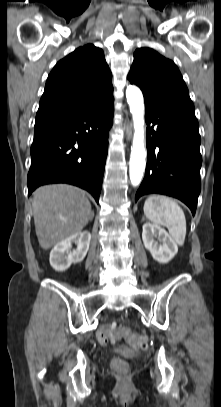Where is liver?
Returning <instances> with one entry per match:
<instances>
[{
    "label": "liver",
    "instance_id": "liver-1",
    "mask_svg": "<svg viewBox=\"0 0 221 407\" xmlns=\"http://www.w3.org/2000/svg\"><path fill=\"white\" fill-rule=\"evenodd\" d=\"M32 202L35 231L39 245L47 250L82 231L93 218L84 191L67 184L39 187Z\"/></svg>",
    "mask_w": 221,
    "mask_h": 407
}]
</instances>
